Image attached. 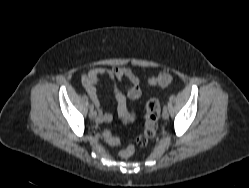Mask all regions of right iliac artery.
<instances>
[{
	"mask_svg": "<svg viewBox=\"0 0 249 188\" xmlns=\"http://www.w3.org/2000/svg\"><path fill=\"white\" fill-rule=\"evenodd\" d=\"M93 109H94V105L91 104V105H90V110H93Z\"/></svg>",
	"mask_w": 249,
	"mask_h": 188,
	"instance_id": "right-iliac-artery-1",
	"label": "right iliac artery"
}]
</instances>
